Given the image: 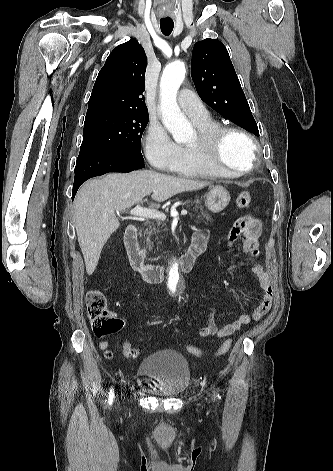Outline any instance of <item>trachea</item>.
Instances as JSON below:
<instances>
[{
    "instance_id": "3493384b",
    "label": "trachea",
    "mask_w": 333,
    "mask_h": 471,
    "mask_svg": "<svg viewBox=\"0 0 333 471\" xmlns=\"http://www.w3.org/2000/svg\"><path fill=\"white\" fill-rule=\"evenodd\" d=\"M160 27L161 31L164 35L168 36L171 34L173 27H174V22L172 19H162L160 21Z\"/></svg>"
}]
</instances>
